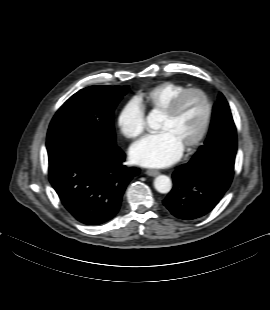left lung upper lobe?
Wrapping results in <instances>:
<instances>
[{
	"mask_svg": "<svg viewBox=\"0 0 270 310\" xmlns=\"http://www.w3.org/2000/svg\"><path fill=\"white\" fill-rule=\"evenodd\" d=\"M218 98L213 107L208 137L192 160L216 162L234 167L237 151L236 127L225 97L219 93Z\"/></svg>",
	"mask_w": 270,
	"mask_h": 310,
	"instance_id": "left-lung-upper-lobe-1",
	"label": "left lung upper lobe"
}]
</instances>
